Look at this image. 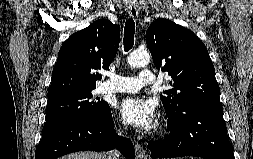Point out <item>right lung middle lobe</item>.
<instances>
[{
    "label": "right lung middle lobe",
    "instance_id": "right-lung-middle-lobe-1",
    "mask_svg": "<svg viewBox=\"0 0 253 159\" xmlns=\"http://www.w3.org/2000/svg\"><path fill=\"white\" fill-rule=\"evenodd\" d=\"M91 91L48 99L42 135L79 118H100L110 108L105 101L92 99Z\"/></svg>",
    "mask_w": 253,
    "mask_h": 159
}]
</instances>
